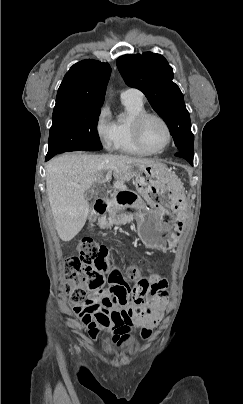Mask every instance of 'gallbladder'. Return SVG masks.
<instances>
[{"label": "gallbladder", "instance_id": "obj_1", "mask_svg": "<svg viewBox=\"0 0 243 404\" xmlns=\"http://www.w3.org/2000/svg\"><path fill=\"white\" fill-rule=\"evenodd\" d=\"M89 195H92V194L90 193ZM88 205H89V206H92V205H93V202H92V201H89V202H88ZM91 216H93V215H91Z\"/></svg>", "mask_w": 243, "mask_h": 404}]
</instances>
